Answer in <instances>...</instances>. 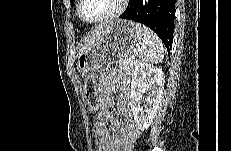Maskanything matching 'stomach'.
<instances>
[{"label": "stomach", "mask_w": 231, "mask_h": 151, "mask_svg": "<svg viewBox=\"0 0 231 151\" xmlns=\"http://www.w3.org/2000/svg\"><path fill=\"white\" fill-rule=\"evenodd\" d=\"M135 23L129 20L112 22L95 45L77 59V69L82 75L101 72L114 63L127 58L136 50Z\"/></svg>", "instance_id": "stomach-1"}]
</instances>
